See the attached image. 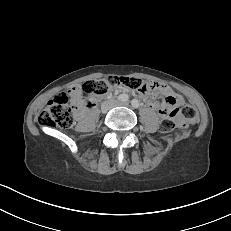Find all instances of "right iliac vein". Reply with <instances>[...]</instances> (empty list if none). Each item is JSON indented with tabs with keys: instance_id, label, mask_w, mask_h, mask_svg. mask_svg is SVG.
<instances>
[{
	"instance_id": "1",
	"label": "right iliac vein",
	"mask_w": 231,
	"mask_h": 231,
	"mask_svg": "<svg viewBox=\"0 0 231 231\" xmlns=\"http://www.w3.org/2000/svg\"><path fill=\"white\" fill-rule=\"evenodd\" d=\"M115 105H116V103H113V102H112V103L110 104V106H109V109L112 108V107H114Z\"/></svg>"
}]
</instances>
